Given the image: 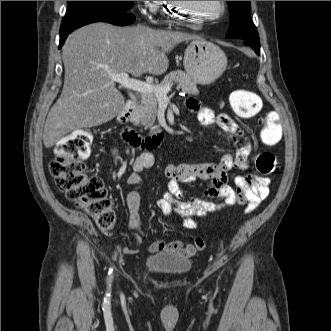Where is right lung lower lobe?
Returning <instances> with one entry per match:
<instances>
[{
  "mask_svg": "<svg viewBox=\"0 0 331 331\" xmlns=\"http://www.w3.org/2000/svg\"><path fill=\"white\" fill-rule=\"evenodd\" d=\"M135 20V16L130 14V13H123V14H116V15H107V16H101L97 17L82 23H79L75 26H72L71 28L60 32V43H59V48H61L67 38V36L74 31L75 29L90 24L94 22H107L111 23L117 26H125L131 24Z\"/></svg>",
  "mask_w": 331,
  "mask_h": 331,
  "instance_id": "98d812e1",
  "label": "right lung lower lobe"
}]
</instances>
